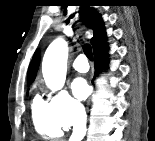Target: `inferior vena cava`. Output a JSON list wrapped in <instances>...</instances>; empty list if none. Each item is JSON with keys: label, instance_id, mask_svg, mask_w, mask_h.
Instances as JSON below:
<instances>
[{"label": "inferior vena cava", "instance_id": "1", "mask_svg": "<svg viewBox=\"0 0 155 141\" xmlns=\"http://www.w3.org/2000/svg\"><path fill=\"white\" fill-rule=\"evenodd\" d=\"M86 133V113L81 110L78 116V121L73 127V133L70 137V141H80Z\"/></svg>", "mask_w": 155, "mask_h": 141}]
</instances>
